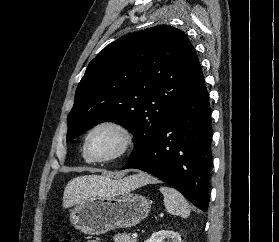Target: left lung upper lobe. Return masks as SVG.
<instances>
[{
	"label": "left lung upper lobe",
	"mask_w": 279,
	"mask_h": 242,
	"mask_svg": "<svg viewBox=\"0 0 279 242\" xmlns=\"http://www.w3.org/2000/svg\"><path fill=\"white\" fill-rule=\"evenodd\" d=\"M198 63L181 30L158 25L106 46L88 65L67 117V140L113 121L135 137L142 155L165 126Z\"/></svg>",
	"instance_id": "5c2ea615"
}]
</instances>
